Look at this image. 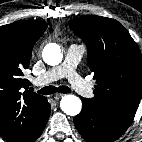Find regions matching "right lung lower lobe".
Wrapping results in <instances>:
<instances>
[{"label": "right lung lower lobe", "mask_w": 142, "mask_h": 142, "mask_svg": "<svg viewBox=\"0 0 142 142\" xmlns=\"http://www.w3.org/2000/svg\"><path fill=\"white\" fill-rule=\"evenodd\" d=\"M49 114H50V104L47 108V111L44 115V117L42 118V120L38 123V126L36 128V130L32 133V135L30 137H28L27 140H25V142H34L36 139L39 138V136L41 135L46 123H47V120L49 118Z\"/></svg>", "instance_id": "1"}]
</instances>
